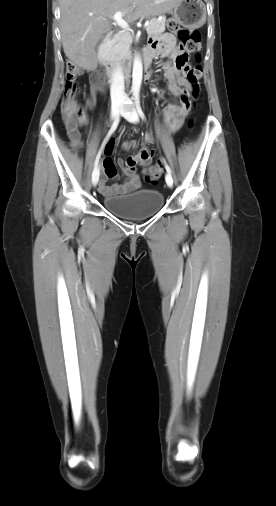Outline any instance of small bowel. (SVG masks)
<instances>
[{
  "label": "small bowel",
  "mask_w": 276,
  "mask_h": 506,
  "mask_svg": "<svg viewBox=\"0 0 276 506\" xmlns=\"http://www.w3.org/2000/svg\"><path fill=\"white\" fill-rule=\"evenodd\" d=\"M144 53L149 55L150 62L148 63V67H150L152 60L160 56L162 58H168L164 66V76L168 80V91L173 95H180L183 91V88H188V83L184 80V74L188 69L187 65V54L181 45H176V39L173 35L167 34L164 35L162 40L152 42L144 51ZM149 78H146L148 82L151 81L152 72L148 70ZM90 93L91 99L86 103L85 107H89L92 102L95 101L97 94L103 90L104 82L102 77L99 76L97 72H94L90 76ZM163 96V92L160 93V97ZM186 113L185 106L177 105V104H167L163 109L164 123L169 129L170 133L176 132L183 121V117ZM83 122L88 121V117L83 113L82 117ZM151 142L150 134H147L145 137V143ZM130 146H136V142H131ZM114 148V143L109 142L106 146V156L100 164V169L102 172V177L99 181V190L105 195H114L121 194L135 190L140 185V177L136 171V165L141 164L142 166H147L152 157L154 156L153 152H150L146 148H142L140 152H148V156L139 159L138 155L131 156L127 159L126 163L122 159L117 161L115 164L112 158V152ZM134 161V164H129V162ZM122 170V172L127 176L126 182L122 184H113L108 185L107 180L111 178H115L117 176V166Z\"/></svg>",
  "instance_id": "c3829d8e"
}]
</instances>
